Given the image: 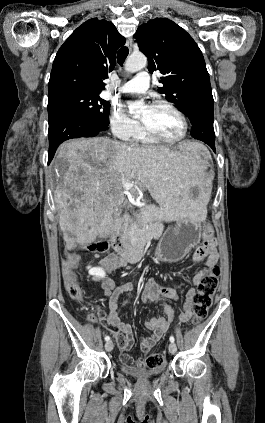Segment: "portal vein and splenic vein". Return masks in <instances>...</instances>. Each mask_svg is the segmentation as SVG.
<instances>
[{"label": "portal vein and splenic vein", "instance_id": "obj_1", "mask_svg": "<svg viewBox=\"0 0 265 423\" xmlns=\"http://www.w3.org/2000/svg\"><path fill=\"white\" fill-rule=\"evenodd\" d=\"M133 183H125L124 185H123V193L124 194H126V195H128V196H131V194H130V190L133 188Z\"/></svg>", "mask_w": 265, "mask_h": 423}]
</instances>
